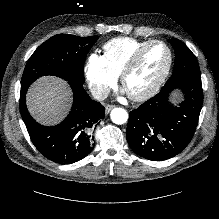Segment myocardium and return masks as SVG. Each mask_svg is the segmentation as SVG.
I'll list each match as a JSON object with an SVG mask.
<instances>
[{"instance_id":"f54148a6","label":"myocardium","mask_w":219,"mask_h":219,"mask_svg":"<svg viewBox=\"0 0 219 219\" xmlns=\"http://www.w3.org/2000/svg\"><path fill=\"white\" fill-rule=\"evenodd\" d=\"M159 44L166 48L168 53V63L164 69V71L158 76V78L153 82V84L148 87L146 90H144L141 93L132 94L127 92L128 96L135 101H144L152 96H154L163 86L166 79L168 78L172 65H173V52L169 45L162 41V40H151L149 41L145 46L137 50L125 63L123 68L120 72V82L123 88H125V80L127 76L134 70V68L137 66L141 58L144 56V54L154 45Z\"/></svg>"}]
</instances>
